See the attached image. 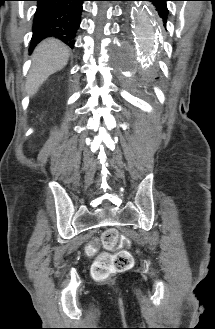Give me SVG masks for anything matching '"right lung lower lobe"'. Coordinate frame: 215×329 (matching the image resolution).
<instances>
[{
  "instance_id": "1",
  "label": "right lung lower lobe",
  "mask_w": 215,
  "mask_h": 329,
  "mask_svg": "<svg viewBox=\"0 0 215 329\" xmlns=\"http://www.w3.org/2000/svg\"><path fill=\"white\" fill-rule=\"evenodd\" d=\"M38 2L33 21L30 51L44 38L56 37L71 48L80 25L85 0H35Z\"/></svg>"
}]
</instances>
